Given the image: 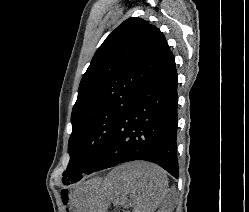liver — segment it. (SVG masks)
Instances as JSON below:
<instances>
[{
    "mask_svg": "<svg viewBox=\"0 0 249 212\" xmlns=\"http://www.w3.org/2000/svg\"><path fill=\"white\" fill-rule=\"evenodd\" d=\"M104 206H127L133 200V212H155L167 192L164 170L149 162H127L114 168L106 178H98Z\"/></svg>",
    "mask_w": 249,
    "mask_h": 212,
    "instance_id": "liver-1",
    "label": "liver"
}]
</instances>
